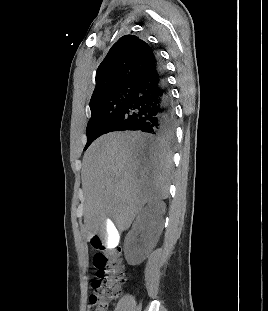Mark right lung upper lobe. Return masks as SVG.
Returning a JSON list of instances; mask_svg holds the SVG:
<instances>
[{"label":"right lung upper lobe","mask_w":268,"mask_h":311,"mask_svg":"<svg viewBox=\"0 0 268 311\" xmlns=\"http://www.w3.org/2000/svg\"><path fill=\"white\" fill-rule=\"evenodd\" d=\"M155 63L156 55L145 41L135 35L121 37L97 69L90 103L117 89L135 85Z\"/></svg>","instance_id":"cb5924a9"}]
</instances>
